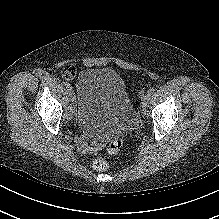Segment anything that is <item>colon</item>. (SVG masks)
Segmentation results:
<instances>
[{"instance_id":"5ec220e1","label":"colon","mask_w":219,"mask_h":219,"mask_svg":"<svg viewBox=\"0 0 219 219\" xmlns=\"http://www.w3.org/2000/svg\"><path fill=\"white\" fill-rule=\"evenodd\" d=\"M75 75V69L72 65H66L63 67L62 69V76L67 79V80H71ZM123 145V138L119 137V138H115L113 139L108 146V153L110 155H114L116 154L120 148ZM93 167L96 170L99 171H106L111 167V164L109 161H107L104 158H97L94 162H93Z\"/></svg>"}]
</instances>
